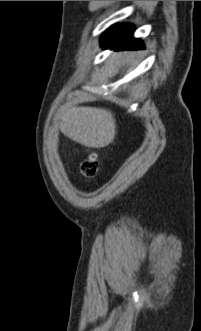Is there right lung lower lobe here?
Here are the masks:
<instances>
[{"instance_id":"right-lung-lower-lobe-1","label":"right lung lower lobe","mask_w":201,"mask_h":331,"mask_svg":"<svg viewBox=\"0 0 201 331\" xmlns=\"http://www.w3.org/2000/svg\"><path fill=\"white\" fill-rule=\"evenodd\" d=\"M134 28L128 24H117L109 28L101 38L102 48L115 50H137L144 48L141 41L133 38Z\"/></svg>"}]
</instances>
